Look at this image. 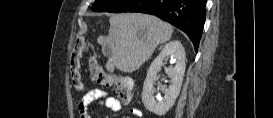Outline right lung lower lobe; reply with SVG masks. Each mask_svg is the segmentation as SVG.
Masks as SVG:
<instances>
[{
  "label": "right lung lower lobe",
  "instance_id": "98d812e1",
  "mask_svg": "<svg viewBox=\"0 0 273 118\" xmlns=\"http://www.w3.org/2000/svg\"><path fill=\"white\" fill-rule=\"evenodd\" d=\"M206 0H128L115 12L155 15L184 31L198 50L205 23Z\"/></svg>",
  "mask_w": 273,
  "mask_h": 118
}]
</instances>
